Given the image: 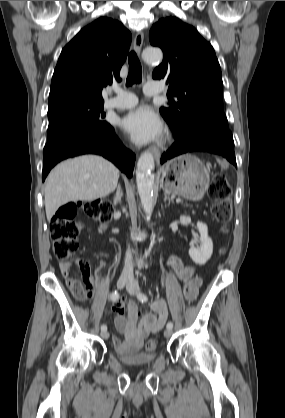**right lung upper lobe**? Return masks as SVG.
<instances>
[{
	"mask_svg": "<svg viewBox=\"0 0 285 418\" xmlns=\"http://www.w3.org/2000/svg\"><path fill=\"white\" fill-rule=\"evenodd\" d=\"M131 33L119 21L100 17L62 50L52 77L48 105L64 101L104 102L102 89L126 60Z\"/></svg>",
	"mask_w": 285,
	"mask_h": 418,
	"instance_id": "right-lung-upper-lobe-1",
	"label": "right lung upper lobe"
}]
</instances>
